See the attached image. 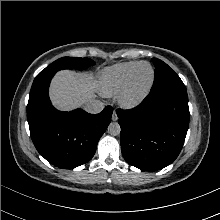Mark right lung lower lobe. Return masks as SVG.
<instances>
[{
    "label": "right lung lower lobe",
    "instance_id": "1",
    "mask_svg": "<svg viewBox=\"0 0 220 220\" xmlns=\"http://www.w3.org/2000/svg\"><path fill=\"white\" fill-rule=\"evenodd\" d=\"M54 74L34 79L27 120L32 141L40 155L54 166L73 169L93 157L97 143L111 121L113 108L107 106L99 114H89L82 109L56 110L48 96Z\"/></svg>",
    "mask_w": 220,
    "mask_h": 220
}]
</instances>
